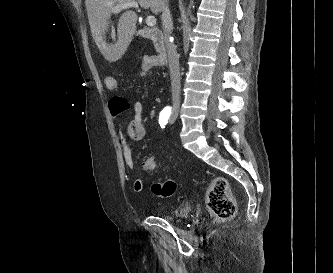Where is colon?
<instances>
[{
    "label": "colon",
    "instance_id": "1",
    "mask_svg": "<svg viewBox=\"0 0 333 273\" xmlns=\"http://www.w3.org/2000/svg\"><path fill=\"white\" fill-rule=\"evenodd\" d=\"M150 64L158 66L161 60L157 56H150ZM105 85L108 90L116 91L117 82L114 78H107ZM143 170L148 173L157 171V162L150 157L143 161ZM176 182L170 178L158 181L152 185V192L160 198L172 196L176 192ZM206 204L216 220L226 221L234 217L236 213V203L231 194L228 181L223 177L210 179L206 184Z\"/></svg>",
    "mask_w": 333,
    "mask_h": 273
}]
</instances>
